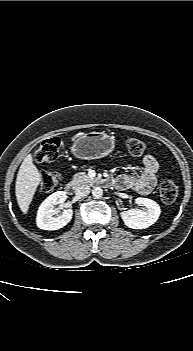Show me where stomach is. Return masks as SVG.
<instances>
[{
  "label": "stomach",
  "instance_id": "1",
  "mask_svg": "<svg viewBox=\"0 0 193 351\" xmlns=\"http://www.w3.org/2000/svg\"><path fill=\"white\" fill-rule=\"evenodd\" d=\"M115 147L113 137L105 132H89L77 136L71 147L74 157L92 160L107 156Z\"/></svg>",
  "mask_w": 193,
  "mask_h": 351
}]
</instances>
